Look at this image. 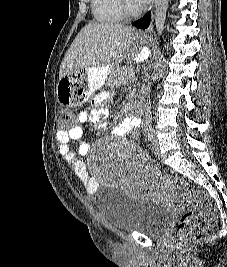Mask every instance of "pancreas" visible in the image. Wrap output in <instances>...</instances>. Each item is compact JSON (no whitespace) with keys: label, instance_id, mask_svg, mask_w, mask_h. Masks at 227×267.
Wrapping results in <instances>:
<instances>
[{"label":"pancreas","instance_id":"1","mask_svg":"<svg viewBox=\"0 0 227 267\" xmlns=\"http://www.w3.org/2000/svg\"><path fill=\"white\" fill-rule=\"evenodd\" d=\"M135 79V75L131 70L127 69H118L109 79L110 85H121L127 83L129 81H133Z\"/></svg>","mask_w":227,"mask_h":267}]
</instances>
